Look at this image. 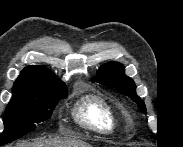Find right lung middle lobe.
I'll return each mask as SVG.
<instances>
[{
	"label": "right lung middle lobe",
	"mask_w": 183,
	"mask_h": 147,
	"mask_svg": "<svg viewBox=\"0 0 183 147\" xmlns=\"http://www.w3.org/2000/svg\"><path fill=\"white\" fill-rule=\"evenodd\" d=\"M66 97V87L13 89V96L5 110L4 131L0 134V145L33 131L37 123L51 117L59 100Z\"/></svg>",
	"instance_id": "1"
}]
</instances>
